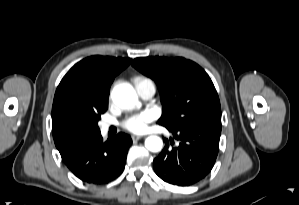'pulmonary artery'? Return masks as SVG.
Instances as JSON below:
<instances>
[{
	"label": "pulmonary artery",
	"mask_w": 299,
	"mask_h": 205,
	"mask_svg": "<svg viewBox=\"0 0 299 205\" xmlns=\"http://www.w3.org/2000/svg\"><path fill=\"white\" fill-rule=\"evenodd\" d=\"M136 90L140 97L143 99H150L154 96L156 92L155 84L152 80L147 78H142L139 80L135 79ZM104 130H107L109 127L108 123L102 125Z\"/></svg>",
	"instance_id": "obj_1"
}]
</instances>
